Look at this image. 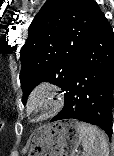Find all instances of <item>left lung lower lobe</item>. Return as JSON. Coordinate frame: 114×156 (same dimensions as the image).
Segmentation results:
<instances>
[{"label": "left lung lower lobe", "mask_w": 114, "mask_h": 156, "mask_svg": "<svg viewBox=\"0 0 114 156\" xmlns=\"http://www.w3.org/2000/svg\"><path fill=\"white\" fill-rule=\"evenodd\" d=\"M113 89L114 33L100 10L77 58L64 108L51 122L78 119L101 127L110 136Z\"/></svg>", "instance_id": "obj_1"}]
</instances>
